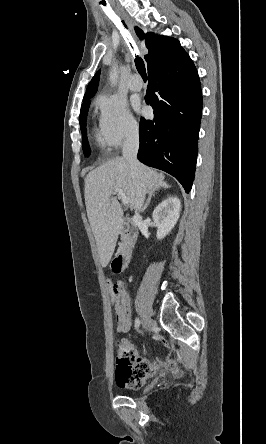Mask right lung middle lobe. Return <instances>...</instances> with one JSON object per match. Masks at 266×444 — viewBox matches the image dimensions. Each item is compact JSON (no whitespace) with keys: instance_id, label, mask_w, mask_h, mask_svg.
I'll return each instance as SVG.
<instances>
[{"instance_id":"right-lung-middle-lobe-1","label":"right lung middle lobe","mask_w":266,"mask_h":444,"mask_svg":"<svg viewBox=\"0 0 266 444\" xmlns=\"http://www.w3.org/2000/svg\"><path fill=\"white\" fill-rule=\"evenodd\" d=\"M89 105L90 101L83 102L79 116L80 128L83 136L82 146L85 157H88L90 155V147L88 144L87 131H86V118L88 114Z\"/></svg>"}]
</instances>
